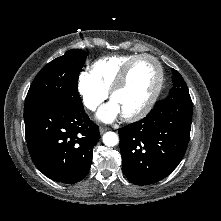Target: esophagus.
Returning a JSON list of instances; mask_svg holds the SVG:
<instances>
[{"instance_id":"obj_1","label":"esophagus","mask_w":221,"mask_h":221,"mask_svg":"<svg viewBox=\"0 0 221 221\" xmlns=\"http://www.w3.org/2000/svg\"><path fill=\"white\" fill-rule=\"evenodd\" d=\"M109 128L101 126L100 127V133L103 134L104 132H106Z\"/></svg>"}]
</instances>
